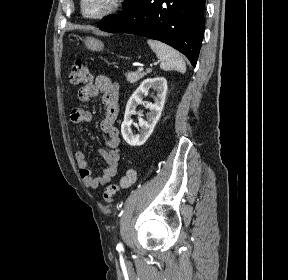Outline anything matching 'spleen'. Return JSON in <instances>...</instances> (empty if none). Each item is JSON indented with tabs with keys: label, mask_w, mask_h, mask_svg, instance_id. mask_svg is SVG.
Segmentation results:
<instances>
[{
	"label": "spleen",
	"mask_w": 288,
	"mask_h": 280,
	"mask_svg": "<svg viewBox=\"0 0 288 280\" xmlns=\"http://www.w3.org/2000/svg\"><path fill=\"white\" fill-rule=\"evenodd\" d=\"M147 43L156 53L157 57L161 60V69L166 71L174 69L181 73H185L186 64L182 59L181 55L174 48L160 41L151 39H149Z\"/></svg>",
	"instance_id": "spleen-1"
}]
</instances>
